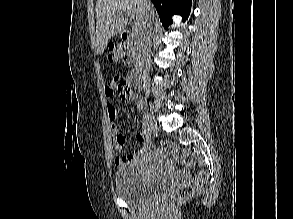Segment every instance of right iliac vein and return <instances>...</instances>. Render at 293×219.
Listing matches in <instances>:
<instances>
[{
    "instance_id": "63e3f726",
    "label": "right iliac vein",
    "mask_w": 293,
    "mask_h": 219,
    "mask_svg": "<svg viewBox=\"0 0 293 219\" xmlns=\"http://www.w3.org/2000/svg\"><path fill=\"white\" fill-rule=\"evenodd\" d=\"M145 122H146V126L149 128L151 132H154L157 130L156 120L151 114H147L145 116Z\"/></svg>"
}]
</instances>
